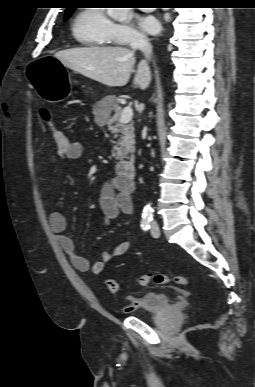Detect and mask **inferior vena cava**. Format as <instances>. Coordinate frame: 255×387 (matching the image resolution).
<instances>
[{"instance_id": "obj_1", "label": "inferior vena cava", "mask_w": 255, "mask_h": 387, "mask_svg": "<svg viewBox=\"0 0 255 387\" xmlns=\"http://www.w3.org/2000/svg\"><path fill=\"white\" fill-rule=\"evenodd\" d=\"M131 48L133 50L139 49L143 52L146 59L152 55V46L149 43V40L145 36H137L131 43Z\"/></svg>"}]
</instances>
